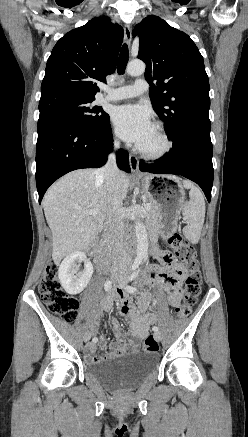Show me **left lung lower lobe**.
I'll list each match as a JSON object with an SVG mask.
<instances>
[{
    "label": "left lung lower lobe",
    "mask_w": 248,
    "mask_h": 437,
    "mask_svg": "<svg viewBox=\"0 0 248 437\" xmlns=\"http://www.w3.org/2000/svg\"><path fill=\"white\" fill-rule=\"evenodd\" d=\"M169 138L173 141L171 152L154 163H141L140 170L155 174L182 175L196 182L210 202L214 175L210 120L187 123Z\"/></svg>",
    "instance_id": "1"
}]
</instances>
